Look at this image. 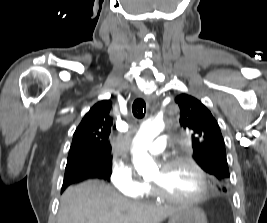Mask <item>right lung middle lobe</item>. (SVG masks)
Here are the masks:
<instances>
[{
	"label": "right lung middle lobe",
	"mask_w": 267,
	"mask_h": 223,
	"mask_svg": "<svg viewBox=\"0 0 267 223\" xmlns=\"http://www.w3.org/2000/svg\"><path fill=\"white\" fill-rule=\"evenodd\" d=\"M104 164V169H98L97 166L99 165L96 160H79L74 162H68L66 165L65 173L72 172L75 170H90L96 171L102 175L103 179L109 180L112 172V162L111 158L102 161Z\"/></svg>",
	"instance_id": "dd1d6c3e"
}]
</instances>
